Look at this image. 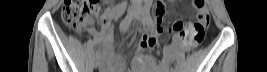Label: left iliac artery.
Returning a JSON list of instances; mask_svg holds the SVG:
<instances>
[{"instance_id":"obj_1","label":"left iliac artery","mask_w":267,"mask_h":72,"mask_svg":"<svg viewBox=\"0 0 267 72\" xmlns=\"http://www.w3.org/2000/svg\"><path fill=\"white\" fill-rule=\"evenodd\" d=\"M145 15H146V25L149 29H153L154 28V22L151 18V15H150V8H151V3L150 2H147L145 4ZM174 70V69H173Z\"/></svg>"}]
</instances>
